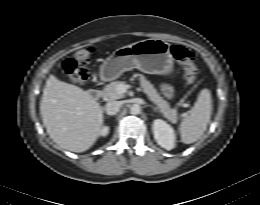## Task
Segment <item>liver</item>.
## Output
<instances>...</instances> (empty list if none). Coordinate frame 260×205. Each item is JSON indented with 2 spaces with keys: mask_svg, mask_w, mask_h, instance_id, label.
Wrapping results in <instances>:
<instances>
[{
  "mask_svg": "<svg viewBox=\"0 0 260 205\" xmlns=\"http://www.w3.org/2000/svg\"><path fill=\"white\" fill-rule=\"evenodd\" d=\"M40 114L50 138L60 148L76 153L96 142L103 123V110L88 91L54 75L43 89Z\"/></svg>",
  "mask_w": 260,
  "mask_h": 205,
  "instance_id": "obj_1",
  "label": "liver"
}]
</instances>
